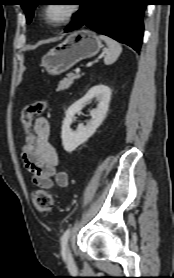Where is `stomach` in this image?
I'll list each match as a JSON object with an SVG mask.
<instances>
[{
    "label": "stomach",
    "instance_id": "1",
    "mask_svg": "<svg viewBox=\"0 0 174 278\" xmlns=\"http://www.w3.org/2000/svg\"><path fill=\"white\" fill-rule=\"evenodd\" d=\"M102 46L99 37L94 32L79 31L50 49L42 57L41 65L48 74L59 75L79 61L95 56Z\"/></svg>",
    "mask_w": 174,
    "mask_h": 278
}]
</instances>
